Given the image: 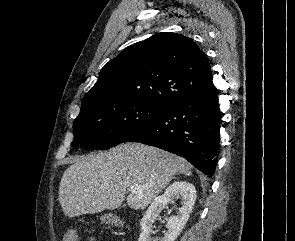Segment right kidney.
<instances>
[{
  "mask_svg": "<svg viewBox=\"0 0 295 241\" xmlns=\"http://www.w3.org/2000/svg\"><path fill=\"white\" fill-rule=\"evenodd\" d=\"M174 198L181 200V208L177 215L169 217L167 232L160 241H175L188 221L196 200L195 187L187 181L172 183L161 196L154 199L141 219V233L138 241H151L150 233L155 220Z\"/></svg>",
  "mask_w": 295,
  "mask_h": 241,
  "instance_id": "right-kidney-1",
  "label": "right kidney"
}]
</instances>
